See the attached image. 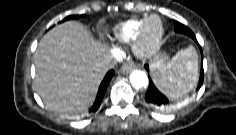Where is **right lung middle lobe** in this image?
<instances>
[{
	"label": "right lung middle lobe",
	"mask_w": 236,
	"mask_h": 135,
	"mask_svg": "<svg viewBox=\"0 0 236 135\" xmlns=\"http://www.w3.org/2000/svg\"><path fill=\"white\" fill-rule=\"evenodd\" d=\"M78 17H79L78 15L68 16L64 20L75 19V18H78Z\"/></svg>",
	"instance_id": "1"
}]
</instances>
